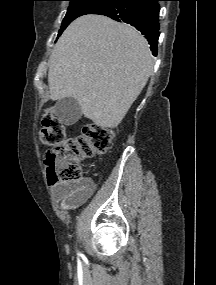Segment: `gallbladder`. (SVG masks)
<instances>
[{"label":"gallbladder","mask_w":216,"mask_h":285,"mask_svg":"<svg viewBox=\"0 0 216 285\" xmlns=\"http://www.w3.org/2000/svg\"><path fill=\"white\" fill-rule=\"evenodd\" d=\"M53 113L60 122L67 126L75 124L82 115L79 103L71 97L58 100Z\"/></svg>","instance_id":"1"}]
</instances>
